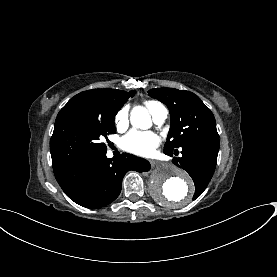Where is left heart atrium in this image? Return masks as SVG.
<instances>
[{"instance_id":"39dd6f15","label":"left heart atrium","mask_w":277,"mask_h":277,"mask_svg":"<svg viewBox=\"0 0 277 277\" xmlns=\"http://www.w3.org/2000/svg\"><path fill=\"white\" fill-rule=\"evenodd\" d=\"M158 137L152 132H141L132 130L121 141L124 150L142 155H151L158 145Z\"/></svg>"}]
</instances>
